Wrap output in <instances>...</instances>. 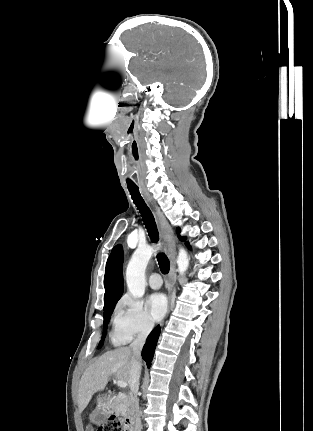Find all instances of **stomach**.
<instances>
[{
    "label": "stomach",
    "instance_id": "stomach-1",
    "mask_svg": "<svg viewBox=\"0 0 313 431\" xmlns=\"http://www.w3.org/2000/svg\"><path fill=\"white\" fill-rule=\"evenodd\" d=\"M111 405V399L106 396L102 395L97 398L96 408L90 415V419L95 424H102L104 423L109 415V409Z\"/></svg>",
    "mask_w": 313,
    "mask_h": 431
}]
</instances>
